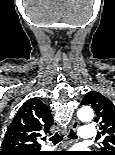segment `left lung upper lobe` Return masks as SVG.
Listing matches in <instances>:
<instances>
[{"instance_id": "1", "label": "left lung upper lobe", "mask_w": 115, "mask_h": 155, "mask_svg": "<svg viewBox=\"0 0 115 155\" xmlns=\"http://www.w3.org/2000/svg\"><path fill=\"white\" fill-rule=\"evenodd\" d=\"M81 105H90L96 112V122H100V133L104 136L103 150L94 151L91 155H115V105L101 93H86Z\"/></svg>"}]
</instances>
